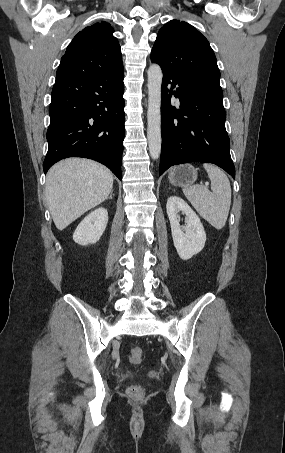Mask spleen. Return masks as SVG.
I'll return each mask as SVG.
<instances>
[{
	"label": "spleen",
	"instance_id": "spleen-1",
	"mask_svg": "<svg viewBox=\"0 0 285 453\" xmlns=\"http://www.w3.org/2000/svg\"><path fill=\"white\" fill-rule=\"evenodd\" d=\"M211 181V191L202 185L183 188L195 210L217 230L225 226L231 205V186L227 175L212 164H204Z\"/></svg>",
	"mask_w": 285,
	"mask_h": 453
}]
</instances>
